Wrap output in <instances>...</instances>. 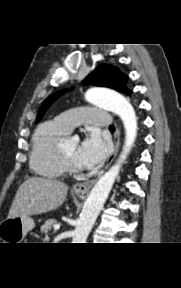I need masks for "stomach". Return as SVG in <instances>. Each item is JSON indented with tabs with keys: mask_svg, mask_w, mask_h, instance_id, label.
<instances>
[{
	"mask_svg": "<svg viewBox=\"0 0 181 288\" xmlns=\"http://www.w3.org/2000/svg\"><path fill=\"white\" fill-rule=\"evenodd\" d=\"M34 226V220L29 216L8 217L0 223V239L4 243H21Z\"/></svg>",
	"mask_w": 181,
	"mask_h": 288,
	"instance_id": "1",
	"label": "stomach"
}]
</instances>
